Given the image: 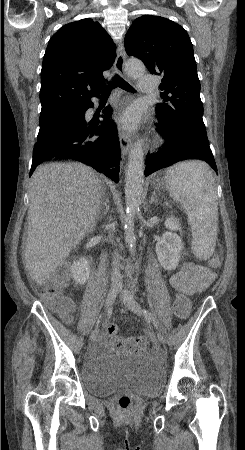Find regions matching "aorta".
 <instances>
[{
	"instance_id": "1",
	"label": "aorta",
	"mask_w": 245,
	"mask_h": 450,
	"mask_svg": "<svg viewBox=\"0 0 245 450\" xmlns=\"http://www.w3.org/2000/svg\"><path fill=\"white\" fill-rule=\"evenodd\" d=\"M125 70L131 78H138L145 71L142 61L129 59L125 63ZM144 184V152L138 140L132 147L125 173V201L126 216L124 230L127 241L132 245L135 242L134 218L139 212Z\"/></svg>"
}]
</instances>
